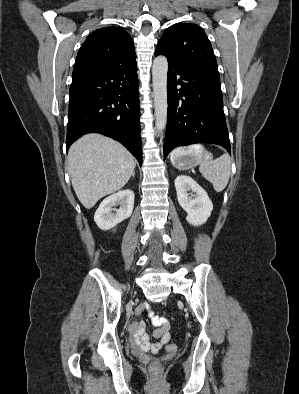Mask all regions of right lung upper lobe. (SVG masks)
Masks as SVG:
<instances>
[{
  "label": "right lung upper lobe",
  "mask_w": 299,
  "mask_h": 394,
  "mask_svg": "<svg viewBox=\"0 0 299 394\" xmlns=\"http://www.w3.org/2000/svg\"><path fill=\"white\" fill-rule=\"evenodd\" d=\"M133 40L120 27H104L93 31L82 44L73 75L107 67H118L136 62Z\"/></svg>",
  "instance_id": "right-lung-upper-lobe-1"
}]
</instances>
